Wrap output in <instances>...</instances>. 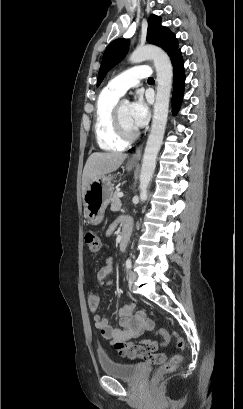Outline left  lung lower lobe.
I'll list each match as a JSON object with an SVG mask.
<instances>
[{"label":"left lung lower lobe","mask_w":243,"mask_h":409,"mask_svg":"<svg viewBox=\"0 0 243 409\" xmlns=\"http://www.w3.org/2000/svg\"><path fill=\"white\" fill-rule=\"evenodd\" d=\"M171 61L173 65L174 81H173V97H172V111L175 114L180 107L183 90H184V62L181 57L180 49L176 51L174 55L171 56Z\"/></svg>","instance_id":"left-lung-lower-lobe-1"}]
</instances>
